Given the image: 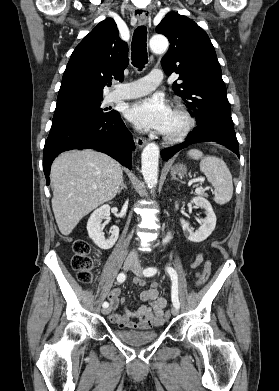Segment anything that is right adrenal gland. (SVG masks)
<instances>
[{
    "instance_id": "1",
    "label": "right adrenal gland",
    "mask_w": 279,
    "mask_h": 391,
    "mask_svg": "<svg viewBox=\"0 0 279 391\" xmlns=\"http://www.w3.org/2000/svg\"><path fill=\"white\" fill-rule=\"evenodd\" d=\"M124 188L127 189V186L125 185L124 180H122L121 186H120V188H119V190H118V194H120L121 191H122Z\"/></svg>"
}]
</instances>
